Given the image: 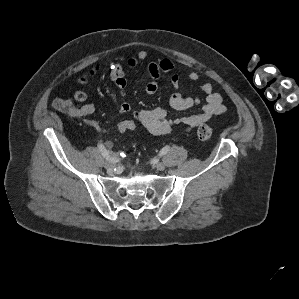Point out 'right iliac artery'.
<instances>
[{"mask_svg": "<svg viewBox=\"0 0 299 299\" xmlns=\"http://www.w3.org/2000/svg\"><path fill=\"white\" fill-rule=\"evenodd\" d=\"M98 148H99V150L101 151L103 157H104L107 161H109V162H111V163H117V162L119 161V159H118L117 157H115V156H111V155L109 154L108 150L104 147L103 144H101V143L98 144Z\"/></svg>", "mask_w": 299, "mask_h": 299, "instance_id": "right-iliac-artery-1", "label": "right iliac artery"}]
</instances>
